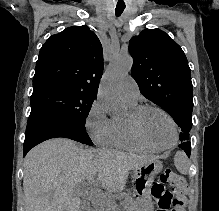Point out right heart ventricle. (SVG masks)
<instances>
[{
  "mask_svg": "<svg viewBox=\"0 0 219 211\" xmlns=\"http://www.w3.org/2000/svg\"><path fill=\"white\" fill-rule=\"evenodd\" d=\"M131 108L137 104H128ZM114 120V132L111 140V144L117 148L124 150L135 151V152H153V150L142 143H140L131 133L126 118L119 119L113 118Z\"/></svg>",
  "mask_w": 219,
  "mask_h": 211,
  "instance_id": "obj_1",
  "label": "right heart ventricle"
}]
</instances>
